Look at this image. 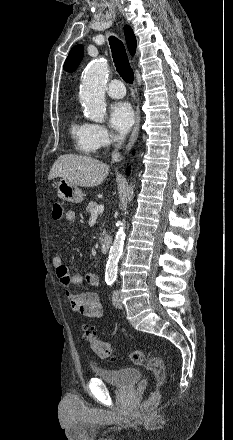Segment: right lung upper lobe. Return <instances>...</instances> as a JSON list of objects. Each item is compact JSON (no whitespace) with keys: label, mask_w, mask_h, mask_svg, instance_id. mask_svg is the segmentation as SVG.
I'll return each mask as SVG.
<instances>
[{"label":"right lung upper lobe","mask_w":233,"mask_h":440,"mask_svg":"<svg viewBox=\"0 0 233 440\" xmlns=\"http://www.w3.org/2000/svg\"><path fill=\"white\" fill-rule=\"evenodd\" d=\"M124 30H125V37L127 41L128 50L131 55H134L136 51V38L134 36V33L132 29L127 25L124 27ZM82 58H83V46L82 45L74 46L71 49L67 59L65 60L64 70L69 73H72L80 64Z\"/></svg>","instance_id":"1"}]
</instances>
